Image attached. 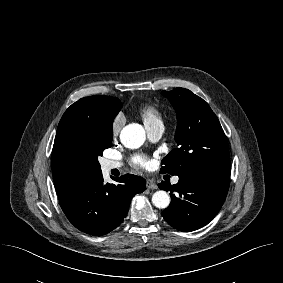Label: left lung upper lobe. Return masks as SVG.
Masks as SVG:
<instances>
[{
	"label": "left lung upper lobe",
	"mask_w": 283,
	"mask_h": 283,
	"mask_svg": "<svg viewBox=\"0 0 283 283\" xmlns=\"http://www.w3.org/2000/svg\"><path fill=\"white\" fill-rule=\"evenodd\" d=\"M177 112L176 148L163 160L162 173L194 175L214 181L230 180L225 133L208 103L190 90L163 91Z\"/></svg>",
	"instance_id": "obj_1"
}]
</instances>
